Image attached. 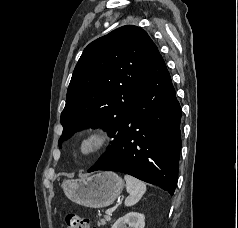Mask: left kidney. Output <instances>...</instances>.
Here are the masks:
<instances>
[{"mask_svg":"<svg viewBox=\"0 0 238 228\" xmlns=\"http://www.w3.org/2000/svg\"><path fill=\"white\" fill-rule=\"evenodd\" d=\"M145 216L141 213L130 212L117 219L111 228H144Z\"/></svg>","mask_w":238,"mask_h":228,"instance_id":"5707ae66","label":"left kidney"}]
</instances>
